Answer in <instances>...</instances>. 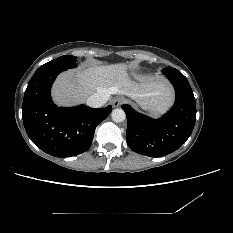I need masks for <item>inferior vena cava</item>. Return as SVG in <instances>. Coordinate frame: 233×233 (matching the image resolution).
Segmentation results:
<instances>
[{"instance_id": "1", "label": "inferior vena cava", "mask_w": 233, "mask_h": 233, "mask_svg": "<svg viewBox=\"0 0 233 233\" xmlns=\"http://www.w3.org/2000/svg\"><path fill=\"white\" fill-rule=\"evenodd\" d=\"M109 99V95L106 92H98L90 96L86 103L93 108L102 107Z\"/></svg>"}]
</instances>
